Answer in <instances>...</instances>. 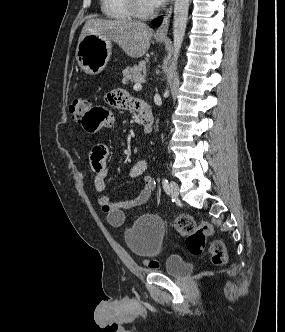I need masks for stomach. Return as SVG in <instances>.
Segmentation results:
<instances>
[{
	"mask_svg": "<svg viewBox=\"0 0 285 332\" xmlns=\"http://www.w3.org/2000/svg\"><path fill=\"white\" fill-rule=\"evenodd\" d=\"M156 41L163 43L165 40L156 37ZM111 53L110 40L96 34H88L78 43L76 60L86 74L96 75L106 67Z\"/></svg>",
	"mask_w": 285,
	"mask_h": 332,
	"instance_id": "stomach-1",
	"label": "stomach"
}]
</instances>
